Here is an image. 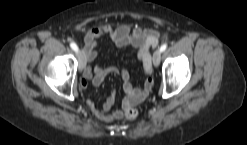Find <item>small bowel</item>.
<instances>
[{
	"instance_id": "c3829d8e",
	"label": "small bowel",
	"mask_w": 247,
	"mask_h": 145,
	"mask_svg": "<svg viewBox=\"0 0 247 145\" xmlns=\"http://www.w3.org/2000/svg\"><path fill=\"white\" fill-rule=\"evenodd\" d=\"M105 35H108L119 48L127 46L135 48L137 50V57L147 76L142 87H135L130 81L129 71L125 68L116 66H96L94 68L87 66L85 68L80 83V88L84 92L87 90L89 82L98 86L109 75L117 74L123 80V89L127 96L122 103V109L112 110L116 100L115 90L111 91L101 109H98L90 99L87 100L88 106L97 118L111 122L121 119L123 117V110L126 108L136 106L143 102L152 89L154 82L151 77L152 62L149 49L156 47L160 40L166 36L161 35L156 30L143 29L140 26H132L128 23H124L117 28H113L107 23H101L86 34L84 54L87 63H91L97 58L98 42Z\"/></svg>"
}]
</instances>
